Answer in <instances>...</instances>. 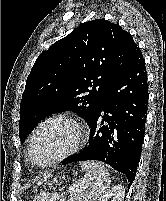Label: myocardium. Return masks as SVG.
<instances>
[{"mask_svg":"<svg viewBox=\"0 0 166 201\" xmlns=\"http://www.w3.org/2000/svg\"><path fill=\"white\" fill-rule=\"evenodd\" d=\"M53 122H65L67 124L72 125L75 128L76 131V139L75 142L73 144V146L66 152L42 163V164H37L33 161L32 159V146L34 143V140L38 134V132L47 124L53 123ZM85 139V129L84 126L77 121L74 118L68 117V116H63V115H58V116H53L50 118H47L45 120H43L41 123H39L36 128L34 129V131L32 132L29 142H28V147H27V155H28V160L29 162L37 167H47V166H51L53 164H56L58 162H61L67 158H69L70 156L74 155L76 152L79 151V149L81 148L83 142Z\"/></svg>","mask_w":166,"mask_h":201,"instance_id":"obj_1","label":"myocardium"}]
</instances>
